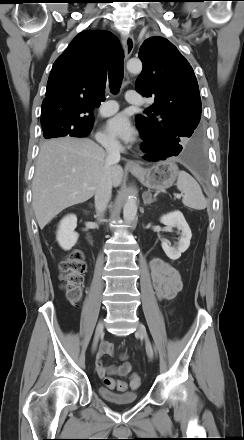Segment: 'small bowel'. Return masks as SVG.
Listing matches in <instances>:
<instances>
[{"instance_id":"1","label":"small bowel","mask_w":244,"mask_h":440,"mask_svg":"<svg viewBox=\"0 0 244 440\" xmlns=\"http://www.w3.org/2000/svg\"><path fill=\"white\" fill-rule=\"evenodd\" d=\"M150 270L157 297L160 300L168 301L174 299L182 289V280L179 271L159 257L151 259ZM105 355H115V350L109 342H103L101 344L96 357L95 367L100 378L103 379L106 375L128 376L132 370V366L129 362H125L119 366H106L103 362ZM119 358L126 360L127 355L121 353L119 354Z\"/></svg>"}]
</instances>
